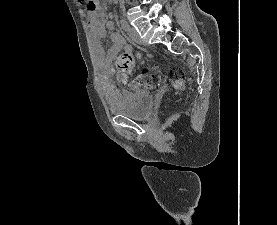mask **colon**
Returning a JSON list of instances; mask_svg holds the SVG:
<instances>
[{"mask_svg":"<svg viewBox=\"0 0 277 225\" xmlns=\"http://www.w3.org/2000/svg\"><path fill=\"white\" fill-rule=\"evenodd\" d=\"M85 4L87 10H91L92 5L87 0H82ZM139 54L133 55L131 53H122L120 54L115 62V70L117 78L120 82L126 83L129 80V76L131 70L135 63V58L138 57ZM162 79V74L160 72H149L139 76L138 81L139 84L143 86H147L150 88H154L158 85V83ZM181 82H178V86H181Z\"/></svg>","mask_w":277,"mask_h":225,"instance_id":"1","label":"colon"}]
</instances>
